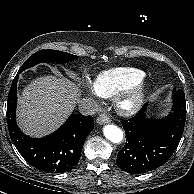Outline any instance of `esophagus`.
Returning a JSON list of instances; mask_svg holds the SVG:
<instances>
[{
	"label": "esophagus",
	"mask_w": 194,
	"mask_h": 194,
	"mask_svg": "<svg viewBox=\"0 0 194 194\" xmlns=\"http://www.w3.org/2000/svg\"><path fill=\"white\" fill-rule=\"evenodd\" d=\"M96 121L98 124L102 125V124L110 123L111 118L107 114L104 113V114L99 115Z\"/></svg>",
	"instance_id": "esophagus-1"
}]
</instances>
